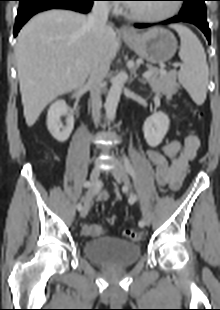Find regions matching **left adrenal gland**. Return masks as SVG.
I'll use <instances>...</instances> for the list:
<instances>
[{
    "label": "left adrenal gland",
    "mask_w": 220,
    "mask_h": 310,
    "mask_svg": "<svg viewBox=\"0 0 220 310\" xmlns=\"http://www.w3.org/2000/svg\"><path fill=\"white\" fill-rule=\"evenodd\" d=\"M139 82H140V83H142L143 85H145V84H146V81H145V80H143V79H139Z\"/></svg>",
    "instance_id": "obj_1"
}]
</instances>
